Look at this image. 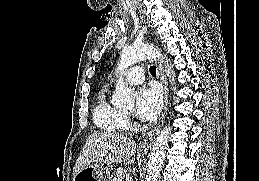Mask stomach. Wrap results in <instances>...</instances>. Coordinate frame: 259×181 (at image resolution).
I'll list each match as a JSON object with an SVG mask.
<instances>
[{"label": "stomach", "instance_id": "1", "mask_svg": "<svg viewBox=\"0 0 259 181\" xmlns=\"http://www.w3.org/2000/svg\"><path fill=\"white\" fill-rule=\"evenodd\" d=\"M109 169L103 164L92 163L78 172L73 181H108Z\"/></svg>", "mask_w": 259, "mask_h": 181}]
</instances>
